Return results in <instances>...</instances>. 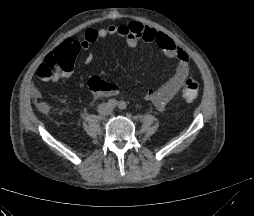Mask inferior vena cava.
<instances>
[{
  "instance_id": "obj_1",
  "label": "inferior vena cava",
  "mask_w": 254,
  "mask_h": 216,
  "mask_svg": "<svg viewBox=\"0 0 254 216\" xmlns=\"http://www.w3.org/2000/svg\"><path fill=\"white\" fill-rule=\"evenodd\" d=\"M112 112V109L107 104H101L99 106V113L102 115H108Z\"/></svg>"
}]
</instances>
